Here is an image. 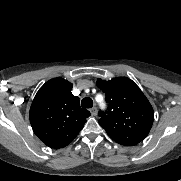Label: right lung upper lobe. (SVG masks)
Segmentation results:
<instances>
[{"label": "right lung upper lobe", "mask_w": 181, "mask_h": 181, "mask_svg": "<svg viewBox=\"0 0 181 181\" xmlns=\"http://www.w3.org/2000/svg\"><path fill=\"white\" fill-rule=\"evenodd\" d=\"M72 86L63 78L51 79L39 89L31 104L32 129L50 148L70 144L90 116L88 110L80 107L79 98L71 93Z\"/></svg>", "instance_id": "1"}]
</instances>
